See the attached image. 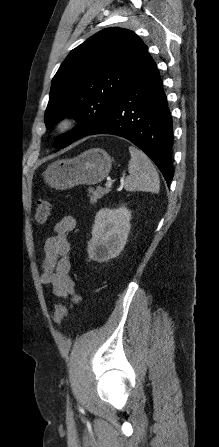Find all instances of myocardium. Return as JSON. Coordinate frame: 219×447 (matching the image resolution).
<instances>
[{"label":"myocardium","instance_id":"1","mask_svg":"<svg viewBox=\"0 0 219 447\" xmlns=\"http://www.w3.org/2000/svg\"><path fill=\"white\" fill-rule=\"evenodd\" d=\"M75 126L76 120L74 118L64 117L57 123L56 130L61 134H65L71 131Z\"/></svg>","mask_w":219,"mask_h":447}]
</instances>
